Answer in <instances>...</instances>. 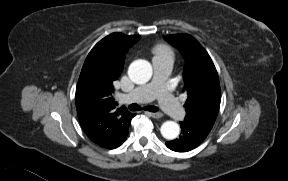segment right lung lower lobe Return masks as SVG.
Segmentation results:
<instances>
[{"label":"right lung lower lobe","mask_w":288,"mask_h":181,"mask_svg":"<svg viewBox=\"0 0 288 181\" xmlns=\"http://www.w3.org/2000/svg\"><path fill=\"white\" fill-rule=\"evenodd\" d=\"M127 135H128V133H127ZM127 135H125V138H124V140L121 142V144L126 140ZM121 144H120V145H121Z\"/></svg>","instance_id":"1"}]
</instances>
